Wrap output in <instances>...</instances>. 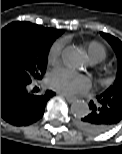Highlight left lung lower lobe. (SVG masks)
<instances>
[{
  "label": "left lung lower lobe",
  "mask_w": 122,
  "mask_h": 154,
  "mask_svg": "<svg viewBox=\"0 0 122 154\" xmlns=\"http://www.w3.org/2000/svg\"><path fill=\"white\" fill-rule=\"evenodd\" d=\"M90 111L77 121V126L89 133L108 131L122 120V102L116 96L102 93L89 103Z\"/></svg>",
  "instance_id": "left-lung-lower-lobe-1"
}]
</instances>
